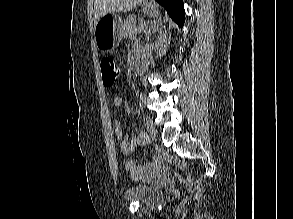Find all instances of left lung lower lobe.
<instances>
[{
	"mask_svg": "<svg viewBox=\"0 0 293 219\" xmlns=\"http://www.w3.org/2000/svg\"><path fill=\"white\" fill-rule=\"evenodd\" d=\"M162 5L169 16L180 27H183L185 21V11L183 7V0H155Z\"/></svg>",
	"mask_w": 293,
	"mask_h": 219,
	"instance_id": "1",
	"label": "left lung lower lobe"
}]
</instances>
